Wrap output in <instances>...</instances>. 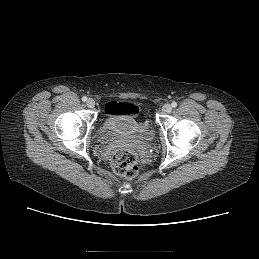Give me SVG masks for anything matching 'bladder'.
Returning <instances> with one entry per match:
<instances>
[{
	"label": "bladder",
	"instance_id": "bladder-1",
	"mask_svg": "<svg viewBox=\"0 0 259 259\" xmlns=\"http://www.w3.org/2000/svg\"><path fill=\"white\" fill-rule=\"evenodd\" d=\"M100 133L110 140L126 136L150 138L153 128L149 122L141 124L132 116L106 113Z\"/></svg>",
	"mask_w": 259,
	"mask_h": 259
}]
</instances>
